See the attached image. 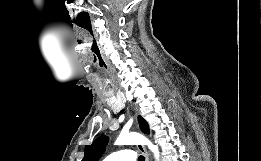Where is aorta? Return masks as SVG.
<instances>
[{
	"label": "aorta",
	"instance_id": "obj_1",
	"mask_svg": "<svg viewBox=\"0 0 261 161\" xmlns=\"http://www.w3.org/2000/svg\"><path fill=\"white\" fill-rule=\"evenodd\" d=\"M116 145H138L144 144L147 145L148 148L154 153V156L157 161H159V150L156 145H153L146 137L139 133H127L121 134L116 142Z\"/></svg>",
	"mask_w": 261,
	"mask_h": 161
}]
</instances>
